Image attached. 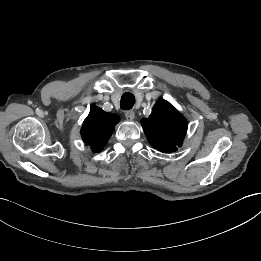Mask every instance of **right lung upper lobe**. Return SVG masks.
Wrapping results in <instances>:
<instances>
[{
  "label": "right lung upper lobe",
  "instance_id": "cb5924a9",
  "mask_svg": "<svg viewBox=\"0 0 261 261\" xmlns=\"http://www.w3.org/2000/svg\"><path fill=\"white\" fill-rule=\"evenodd\" d=\"M118 121L119 117L115 114L106 113L98 107L91 108L81 129L84 142L91 146L93 152L101 151Z\"/></svg>",
  "mask_w": 261,
  "mask_h": 261
}]
</instances>
